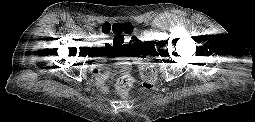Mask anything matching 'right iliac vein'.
I'll list each match as a JSON object with an SVG mask.
<instances>
[{
    "label": "right iliac vein",
    "instance_id": "63e3f726",
    "mask_svg": "<svg viewBox=\"0 0 255 122\" xmlns=\"http://www.w3.org/2000/svg\"><path fill=\"white\" fill-rule=\"evenodd\" d=\"M93 38H94V40H97L99 38V36L94 35Z\"/></svg>",
    "mask_w": 255,
    "mask_h": 122
}]
</instances>
